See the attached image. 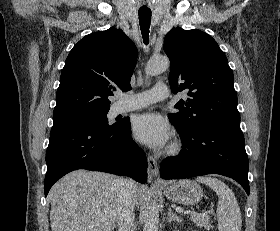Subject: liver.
<instances>
[{
	"mask_svg": "<svg viewBox=\"0 0 280 231\" xmlns=\"http://www.w3.org/2000/svg\"><path fill=\"white\" fill-rule=\"evenodd\" d=\"M121 177L76 169L59 179L49 191L52 231H113ZM145 185L135 183L133 195L140 205Z\"/></svg>",
	"mask_w": 280,
	"mask_h": 231,
	"instance_id": "obj_1",
	"label": "liver"
}]
</instances>
